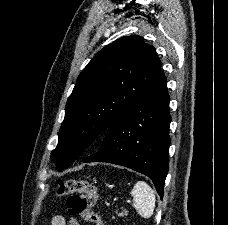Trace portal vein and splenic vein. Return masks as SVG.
Masks as SVG:
<instances>
[{"label": "portal vein and splenic vein", "mask_w": 228, "mask_h": 225, "mask_svg": "<svg viewBox=\"0 0 228 225\" xmlns=\"http://www.w3.org/2000/svg\"><path fill=\"white\" fill-rule=\"evenodd\" d=\"M121 198L120 197H115L114 200H111L110 202H105V207H110V205H116V202H120ZM126 205H132V200H126Z\"/></svg>", "instance_id": "18ae733b"}]
</instances>
